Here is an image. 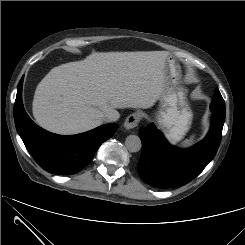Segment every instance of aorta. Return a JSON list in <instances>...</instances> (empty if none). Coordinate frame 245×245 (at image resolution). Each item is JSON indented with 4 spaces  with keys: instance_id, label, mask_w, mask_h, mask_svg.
I'll return each instance as SVG.
<instances>
[{
    "instance_id": "1",
    "label": "aorta",
    "mask_w": 245,
    "mask_h": 245,
    "mask_svg": "<svg viewBox=\"0 0 245 245\" xmlns=\"http://www.w3.org/2000/svg\"><path fill=\"white\" fill-rule=\"evenodd\" d=\"M125 146L130 152H138L142 147V143L137 135H129L126 137Z\"/></svg>"
}]
</instances>
